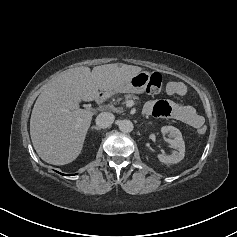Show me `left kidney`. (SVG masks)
I'll use <instances>...</instances> for the list:
<instances>
[{"label":"left kidney","instance_id":"left-kidney-1","mask_svg":"<svg viewBox=\"0 0 237 237\" xmlns=\"http://www.w3.org/2000/svg\"><path fill=\"white\" fill-rule=\"evenodd\" d=\"M161 133L163 136L168 134L169 138L166 141L176 150L172 155L158 154L159 161L165 164L180 162L185 156V143L180 130L173 126H164L161 128Z\"/></svg>","mask_w":237,"mask_h":237}]
</instances>
